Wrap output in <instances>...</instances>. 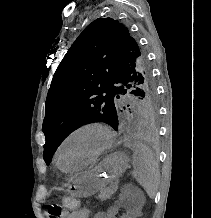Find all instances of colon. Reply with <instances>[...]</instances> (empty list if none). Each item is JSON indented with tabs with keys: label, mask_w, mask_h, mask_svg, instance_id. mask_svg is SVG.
Instances as JSON below:
<instances>
[{
	"label": "colon",
	"mask_w": 211,
	"mask_h": 218,
	"mask_svg": "<svg viewBox=\"0 0 211 218\" xmlns=\"http://www.w3.org/2000/svg\"><path fill=\"white\" fill-rule=\"evenodd\" d=\"M63 206L68 210H75L78 208V200L72 196H65L62 200Z\"/></svg>",
	"instance_id": "1"
}]
</instances>
